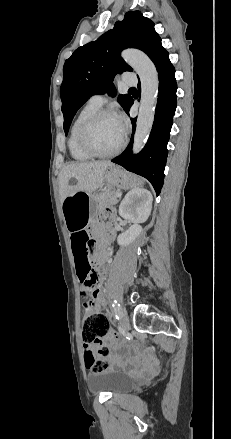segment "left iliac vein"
<instances>
[{
	"instance_id": "4c4485c4",
	"label": "left iliac vein",
	"mask_w": 231,
	"mask_h": 439,
	"mask_svg": "<svg viewBox=\"0 0 231 439\" xmlns=\"http://www.w3.org/2000/svg\"><path fill=\"white\" fill-rule=\"evenodd\" d=\"M119 314H120V323H121V326H122L124 329H128L130 323H129V318H128L127 311H126L124 308H120V309H119Z\"/></svg>"
}]
</instances>
